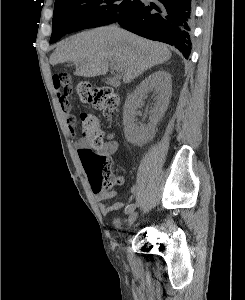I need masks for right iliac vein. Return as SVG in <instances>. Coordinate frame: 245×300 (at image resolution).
Wrapping results in <instances>:
<instances>
[{"label":"right iliac vein","instance_id":"right-iliac-vein-1","mask_svg":"<svg viewBox=\"0 0 245 300\" xmlns=\"http://www.w3.org/2000/svg\"><path fill=\"white\" fill-rule=\"evenodd\" d=\"M138 216V212L137 211H132L130 212L129 216H128V223L131 225L135 222L136 218Z\"/></svg>","mask_w":245,"mask_h":300}]
</instances>
